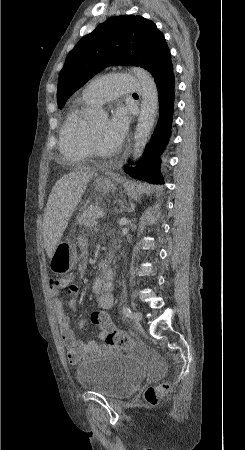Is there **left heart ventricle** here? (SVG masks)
<instances>
[{
	"label": "left heart ventricle",
	"instance_id": "1",
	"mask_svg": "<svg viewBox=\"0 0 245 450\" xmlns=\"http://www.w3.org/2000/svg\"><path fill=\"white\" fill-rule=\"evenodd\" d=\"M107 119L98 118L92 120L93 132L99 146L106 151H114L116 147L110 143L107 136Z\"/></svg>",
	"mask_w": 245,
	"mask_h": 450
}]
</instances>
